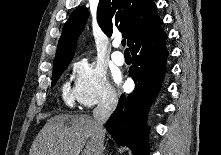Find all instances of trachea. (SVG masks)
Segmentation results:
<instances>
[{
    "label": "trachea",
    "instance_id": "1",
    "mask_svg": "<svg viewBox=\"0 0 221 155\" xmlns=\"http://www.w3.org/2000/svg\"><path fill=\"white\" fill-rule=\"evenodd\" d=\"M125 44H126V40L123 39V40H122V46H125ZM125 52H128V49H126Z\"/></svg>",
    "mask_w": 221,
    "mask_h": 155
}]
</instances>
